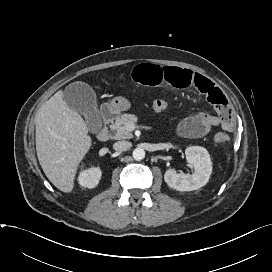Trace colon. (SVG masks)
<instances>
[{"instance_id":"5ec220e1","label":"colon","mask_w":272,"mask_h":272,"mask_svg":"<svg viewBox=\"0 0 272 272\" xmlns=\"http://www.w3.org/2000/svg\"><path fill=\"white\" fill-rule=\"evenodd\" d=\"M171 105H172V103H170L164 99H155L151 103L152 109L155 111H158V112L168 109ZM214 140L216 143H219V144L226 143L228 140V135H227V133L222 132V131L218 132L214 136Z\"/></svg>"}]
</instances>
